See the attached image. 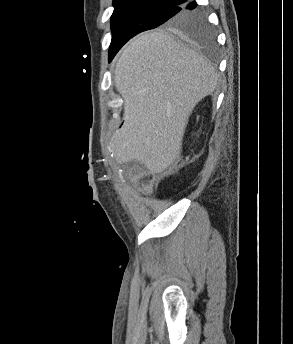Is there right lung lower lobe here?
Returning a JSON list of instances; mask_svg holds the SVG:
<instances>
[{"instance_id":"1","label":"right lung lower lobe","mask_w":293,"mask_h":344,"mask_svg":"<svg viewBox=\"0 0 293 344\" xmlns=\"http://www.w3.org/2000/svg\"><path fill=\"white\" fill-rule=\"evenodd\" d=\"M197 4L196 2H192L191 4H189L187 7H182V10L185 11V12H193V11H196L195 8H196ZM112 58H110V61H111Z\"/></svg>"}]
</instances>
